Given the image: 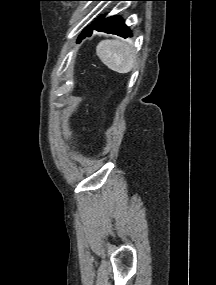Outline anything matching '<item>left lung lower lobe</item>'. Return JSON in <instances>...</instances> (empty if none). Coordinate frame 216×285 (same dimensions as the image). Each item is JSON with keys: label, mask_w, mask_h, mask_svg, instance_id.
<instances>
[{"label": "left lung lower lobe", "mask_w": 216, "mask_h": 285, "mask_svg": "<svg viewBox=\"0 0 216 285\" xmlns=\"http://www.w3.org/2000/svg\"><path fill=\"white\" fill-rule=\"evenodd\" d=\"M92 30L116 34L124 38L132 36L131 31L124 24V21L119 16H111L104 19L103 17L100 18L96 22V24H94L93 26H89L82 32V34L78 38V41H81L85 36H90L92 34Z\"/></svg>", "instance_id": "1"}]
</instances>
